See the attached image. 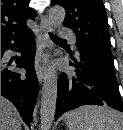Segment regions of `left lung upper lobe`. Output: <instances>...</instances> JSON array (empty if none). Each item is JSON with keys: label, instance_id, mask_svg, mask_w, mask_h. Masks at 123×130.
<instances>
[{"label": "left lung upper lobe", "instance_id": "1", "mask_svg": "<svg viewBox=\"0 0 123 130\" xmlns=\"http://www.w3.org/2000/svg\"><path fill=\"white\" fill-rule=\"evenodd\" d=\"M65 8L64 26L77 36L78 51L101 55L113 60L107 14L102 0H52Z\"/></svg>", "mask_w": 123, "mask_h": 130}]
</instances>
